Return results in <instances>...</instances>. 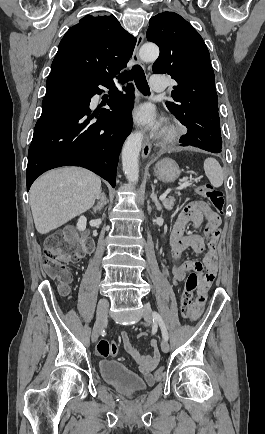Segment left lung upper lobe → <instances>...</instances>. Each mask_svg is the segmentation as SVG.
<instances>
[{
    "label": "left lung upper lobe",
    "mask_w": 265,
    "mask_h": 434,
    "mask_svg": "<svg viewBox=\"0 0 265 434\" xmlns=\"http://www.w3.org/2000/svg\"><path fill=\"white\" fill-rule=\"evenodd\" d=\"M146 36L160 48L153 72L177 82L168 109L188 130L220 134L215 77L200 34L177 13L162 12L150 19Z\"/></svg>",
    "instance_id": "5c2ea615"
}]
</instances>
